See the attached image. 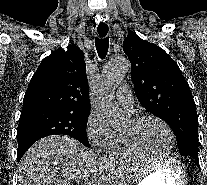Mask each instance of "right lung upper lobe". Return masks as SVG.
Masks as SVG:
<instances>
[{"instance_id":"right-lung-upper-lobe-1","label":"right lung upper lobe","mask_w":207,"mask_h":185,"mask_svg":"<svg viewBox=\"0 0 207 185\" xmlns=\"http://www.w3.org/2000/svg\"><path fill=\"white\" fill-rule=\"evenodd\" d=\"M45 57L26 90L22 111L34 109L90 113L84 54L77 46Z\"/></svg>"}]
</instances>
